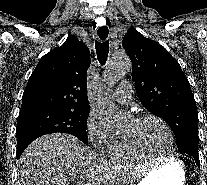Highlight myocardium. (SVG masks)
Returning <instances> with one entry per match:
<instances>
[{
	"label": "myocardium",
	"mask_w": 207,
	"mask_h": 185,
	"mask_svg": "<svg viewBox=\"0 0 207 185\" xmlns=\"http://www.w3.org/2000/svg\"><path fill=\"white\" fill-rule=\"evenodd\" d=\"M133 120L135 122H142L146 120L158 121L167 132V135L169 138V147L167 151L161 155L150 154L144 151L143 149H140L139 147H137V145L134 143L132 138L126 135L125 133H123L122 137H123L124 143L130 152H132L135 155L141 156L143 158H147V159H166L171 156L174 146H175V136H174L173 130L170 127V125L163 118L157 115H154V114H145V115L137 116Z\"/></svg>",
	"instance_id": "myocardium-1"
}]
</instances>
